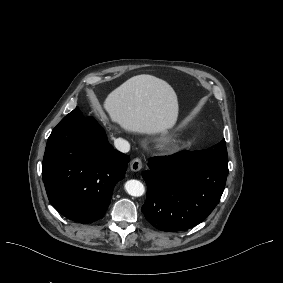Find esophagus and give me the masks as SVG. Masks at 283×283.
Wrapping results in <instances>:
<instances>
[{
    "mask_svg": "<svg viewBox=\"0 0 283 283\" xmlns=\"http://www.w3.org/2000/svg\"><path fill=\"white\" fill-rule=\"evenodd\" d=\"M142 166H143V163L139 158L133 159L130 163L131 170L134 172L139 171L142 168Z\"/></svg>",
    "mask_w": 283,
    "mask_h": 283,
    "instance_id": "obj_1",
    "label": "esophagus"
}]
</instances>
